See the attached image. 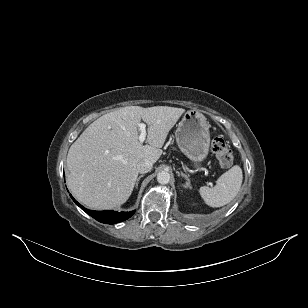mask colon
<instances>
[{
  "mask_svg": "<svg viewBox=\"0 0 308 308\" xmlns=\"http://www.w3.org/2000/svg\"><path fill=\"white\" fill-rule=\"evenodd\" d=\"M211 149L221 167L228 168L232 165L234 159L233 153L223 138H214L211 143Z\"/></svg>",
  "mask_w": 308,
  "mask_h": 308,
  "instance_id": "5ec220e1",
  "label": "colon"
}]
</instances>
